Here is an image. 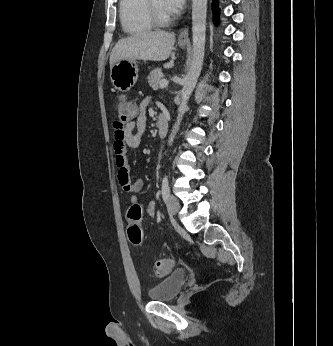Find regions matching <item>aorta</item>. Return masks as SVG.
Returning a JSON list of instances; mask_svg holds the SVG:
<instances>
[{
	"label": "aorta",
	"instance_id": "obj_1",
	"mask_svg": "<svg viewBox=\"0 0 333 346\" xmlns=\"http://www.w3.org/2000/svg\"><path fill=\"white\" fill-rule=\"evenodd\" d=\"M206 14L207 0H192V62L181 90V103L178 108L177 121L169 136V145L173 143L175 135L179 130L183 115L187 110L188 100L196 86L202 69L205 53Z\"/></svg>",
	"mask_w": 333,
	"mask_h": 346
}]
</instances>
